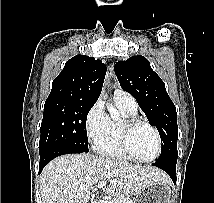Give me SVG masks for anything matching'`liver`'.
Instances as JSON below:
<instances>
[{"label":"liver","mask_w":214,"mask_h":203,"mask_svg":"<svg viewBox=\"0 0 214 203\" xmlns=\"http://www.w3.org/2000/svg\"><path fill=\"white\" fill-rule=\"evenodd\" d=\"M106 180L109 185L105 192L109 196L129 198L154 181H166L167 177L151 166L92 154H67L55 158L43 169L40 177L42 203H89L97 184Z\"/></svg>","instance_id":"obj_1"}]
</instances>
